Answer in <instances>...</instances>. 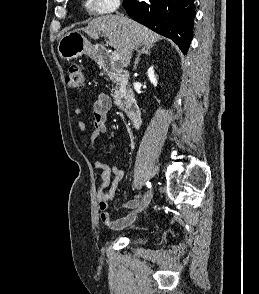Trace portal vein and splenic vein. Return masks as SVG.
<instances>
[{"label": "portal vein and splenic vein", "instance_id": "1", "mask_svg": "<svg viewBox=\"0 0 259 294\" xmlns=\"http://www.w3.org/2000/svg\"><path fill=\"white\" fill-rule=\"evenodd\" d=\"M111 59H112L113 61H115V62L119 61V60H120V55H119V53L116 52V51H114V52L112 53Z\"/></svg>", "mask_w": 259, "mask_h": 294}]
</instances>
